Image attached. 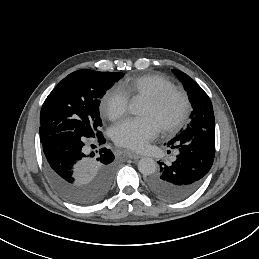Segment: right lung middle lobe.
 <instances>
[{"label": "right lung middle lobe", "mask_w": 259, "mask_h": 259, "mask_svg": "<svg viewBox=\"0 0 259 259\" xmlns=\"http://www.w3.org/2000/svg\"><path fill=\"white\" fill-rule=\"evenodd\" d=\"M123 73L83 69L69 74L48 95L40 113V141L71 131L91 138L100 134V99Z\"/></svg>", "instance_id": "right-lung-middle-lobe-1"}]
</instances>
